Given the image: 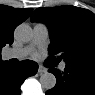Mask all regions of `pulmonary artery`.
I'll list each match as a JSON object with an SVG mask.
<instances>
[{"label":"pulmonary artery","mask_w":95,"mask_h":95,"mask_svg":"<svg viewBox=\"0 0 95 95\" xmlns=\"http://www.w3.org/2000/svg\"><path fill=\"white\" fill-rule=\"evenodd\" d=\"M49 36L48 27L45 24L37 23L33 27V36H32V43L35 45L41 44L46 41ZM30 52V47L18 48V49H11L4 53V57L6 59H23L25 58L28 53ZM66 66L65 62L60 64V69H64Z\"/></svg>","instance_id":"e3ab8cb5"}]
</instances>
